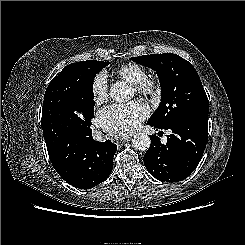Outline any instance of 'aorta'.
Segmentation results:
<instances>
[{
  "mask_svg": "<svg viewBox=\"0 0 245 245\" xmlns=\"http://www.w3.org/2000/svg\"><path fill=\"white\" fill-rule=\"evenodd\" d=\"M109 95L113 101L120 103L131 97L130 91L127 89L126 85L121 82H117L110 87ZM131 144L134 149L145 151L150 147L151 140L148 135L140 133L134 135Z\"/></svg>",
  "mask_w": 245,
  "mask_h": 245,
  "instance_id": "762f6f07",
  "label": "aorta"
}]
</instances>
